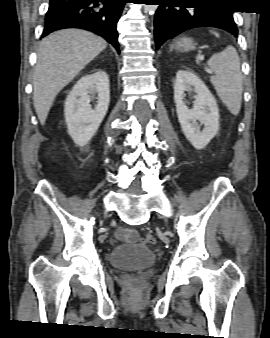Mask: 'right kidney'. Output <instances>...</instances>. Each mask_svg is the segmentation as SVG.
<instances>
[{
	"label": "right kidney",
	"mask_w": 270,
	"mask_h": 338,
	"mask_svg": "<svg viewBox=\"0 0 270 338\" xmlns=\"http://www.w3.org/2000/svg\"><path fill=\"white\" fill-rule=\"evenodd\" d=\"M98 94L92 109L89 94ZM110 101L109 77L103 70L83 76L72 88L65 101L64 115L68 133L78 146L86 145L104 119Z\"/></svg>",
	"instance_id": "right-kidney-1"
}]
</instances>
